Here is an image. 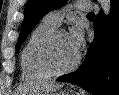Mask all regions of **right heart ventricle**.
Masks as SVG:
<instances>
[{"label":"right heart ventricle","mask_w":119,"mask_h":95,"mask_svg":"<svg viewBox=\"0 0 119 95\" xmlns=\"http://www.w3.org/2000/svg\"><path fill=\"white\" fill-rule=\"evenodd\" d=\"M57 27L44 18L31 32L20 55L21 73L24 80H45L50 77L40 64L39 52L46 37Z\"/></svg>","instance_id":"e07e8e85"}]
</instances>
